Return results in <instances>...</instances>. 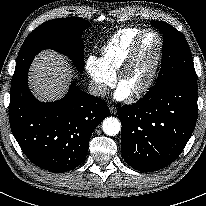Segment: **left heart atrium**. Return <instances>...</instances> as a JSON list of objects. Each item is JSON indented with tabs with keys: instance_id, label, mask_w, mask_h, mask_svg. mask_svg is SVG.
<instances>
[{
	"instance_id": "1",
	"label": "left heart atrium",
	"mask_w": 206,
	"mask_h": 206,
	"mask_svg": "<svg viewBox=\"0 0 206 206\" xmlns=\"http://www.w3.org/2000/svg\"><path fill=\"white\" fill-rule=\"evenodd\" d=\"M131 94V91L124 87L123 85H120L115 93V98L117 100H123L126 99Z\"/></svg>"
}]
</instances>
